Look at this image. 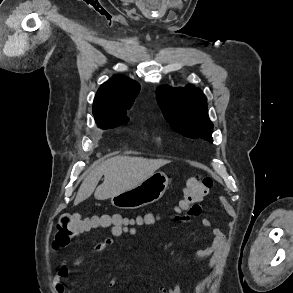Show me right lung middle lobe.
Returning a JSON list of instances; mask_svg holds the SVG:
<instances>
[{"label":"right lung middle lobe","instance_id":"dd1d6c3e","mask_svg":"<svg viewBox=\"0 0 293 293\" xmlns=\"http://www.w3.org/2000/svg\"><path fill=\"white\" fill-rule=\"evenodd\" d=\"M98 127L101 129H108L117 127L129 121V118L125 115L106 116L99 119H95Z\"/></svg>","mask_w":293,"mask_h":293}]
</instances>
